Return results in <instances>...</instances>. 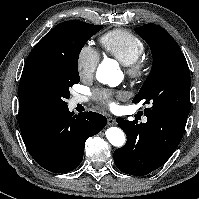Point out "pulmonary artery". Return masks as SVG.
Here are the masks:
<instances>
[{
  "instance_id": "pulmonary-artery-1",
  "label": "pulmonary artery",
  "mask_w": 199,
  "mask_h": 199,
  "mask_svg": "<svg viewBox=\"0 0 199 199\" xmlns=\"http://www.w3.org/2000/svg\"><path fill=\"white\" fill-rule=\"evenodd\" d=\"M87 101V98L84 97V96H80V95H76L74 96L72 99H71V102H70V106L71 107H74L76 106L77 104H81V103H84ZM144 121H146V119H144Z\"/></svg>"
}]
</instances>
